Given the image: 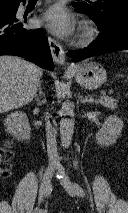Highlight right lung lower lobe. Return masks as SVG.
I'll list each match as a JSON object with an SVG mask.
<instances>
[{
    "label": "right lung lower lobe",
    "instance_id": "obj_1",
    "mask_svg": "<svg viewBox=\"0 0 128 213\" xmlns=\"http://www.w3.org/2000/svg\"><path fill=\"white\" fill-rule=\"evenodd\" d=\"M17 9L13 13L0 14V55L24 57L42 68L53 70L51 51L43 30L23 28L26 20L16 18Z\"/></svg>",
    "mask_w": 128,
    "mask_h": 213
}]
</instances>
